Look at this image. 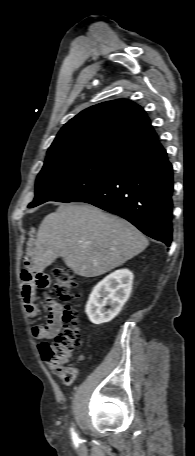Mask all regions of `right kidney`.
Instances as JSON below:
<instances>
[{
  "instance_id": "1",
  "label": "right kidney",
  "mask_w": 195,
  "mask_h": 456,
  "mask_svg": "<svg viewBox=\"0 0 195 456\" xmlns=\"http://www.w3.org/2000/svg\"><path fill=\"white\" fill-rule=\"evenodd\" d=\"M133 277L128 269L116 270L93 288L85 309L93 324L110 322L120 313L130 297ZM106 305L110 308L105 309Z\"/></svg>"
}]
</instances>
